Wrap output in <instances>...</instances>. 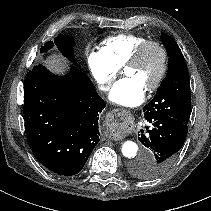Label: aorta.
<instances>
[{
  "label": "aorta",
  "instance_id": "1",
  "mask_svg": "<svg viewBox=\"0 0 211 211\" xmlns=\"http://www.w3.org/2000/svg\"><path fill=\"white\" fill-rule=\"evenodd\" d=\"M138 152V145L133 141H126L122 145V153L125 157L133 159Z\"/></svg>",
  "mask_w": 211,
  "mask_h": 211
}]
</instances>
